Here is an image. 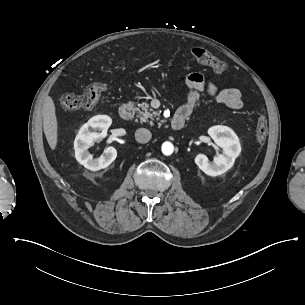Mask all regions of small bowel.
<instances>
[{"label": "small bowel", "mask_w": 305, "mask_h": 305, "mask_svg": "<svg viewBox=\"0 0 305 305\" xmlns=\"http://www.w3.org/2000/svg\"><path fill=\"white\" fill-rule=\"evenodd\" d=\"M190 89L186 102L177 110L189 116L196 107L202 94L213 96L219 103L231 110H239L242 105V96L236 88H218L209 78L201 73H190L186 77Z\"/></svg>", "instance_id": "small-bowel-1"}]
</instances>
